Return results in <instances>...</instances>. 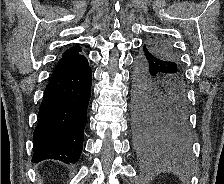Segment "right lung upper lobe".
Returning a JSON list of instances; mask_svg holds the SVG:
<instances>
[{
    "label": "right lung upper lobe",
    "instance_id": "cb5924a9",
    "mask_svg": "<svg viewBox=\"0 0 224 184\" xmlns=\"http://www.w3.org/2000/svg\"><path fill=\"white\" fill-rule=\"evenodd\" d=\"M80 48L78 46L71 47L66 50L62 58L58 61L53 73H61L72 69H77L87 63L86 57L80 55Z\"/></svg>",
    "mask_w": 224,
    "mask_h": 184
}]
</instances>
